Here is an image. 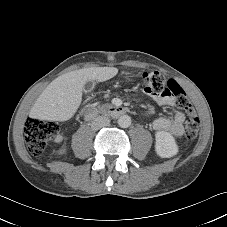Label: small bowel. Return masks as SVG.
Listing matches in <instances>:
<instances>
[{
	"label": "small bowel",
	"mask_w": 227,
	"mask_h": 227,
	"mask_svg": "<svg viewBox=\"0 0 227 227\" xmlns=\"http://www.w3.org/2000/svg\"><path fill=\"white\" fill-rule=\"evenodd\" d=\"M153 100L160 106L174 107L175 100L172 95L153 96ZM185 115L180 110H176L172 118L158 117L152 123V128L156 131H166L173 136L179 137L183 134V123ZM61 140V136L57 137V141Z\"/></svg>",
	"instance_id": "1"
}]
</instances>
